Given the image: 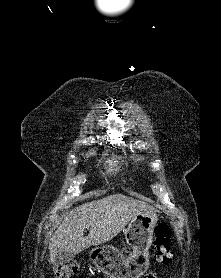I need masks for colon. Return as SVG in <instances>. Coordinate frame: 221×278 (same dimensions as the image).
Instances as JSON below:
<instances>
[{
  "label": "colon",
  "instance_id": "obj_1",
  "mask_svg": "<svg viewBox=\"0 0 221 278\" xmlns=\"http://www.w3.org/2000/svg\"><path fill=\"white\" fill-rule=\"evenodd\" d=\"M153 247L157 260L162 264H168L172 259L171 230L164 221H159L154 229ZM78 270L74 263L58 265L55 268V278H72Z\"/></svg>",
  "mask_w": 221,
  "mask_h": 278
}]
</instances>
